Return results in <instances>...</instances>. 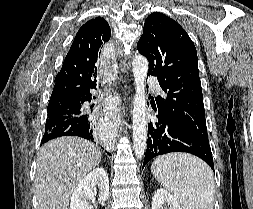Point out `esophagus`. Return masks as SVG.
<instances>
[{
	"instance_id": "1",
	"label": "esophagus",
	"mask_w": 253,
	"mask_h": 209,
	"mask_svg": "<svg viewBox=\"0 0 253 209\" xmlns=\"http://www.w3.org/2000/svg\"><path fill=\"white\" fill-rule=\"evenodd\" d=\"M114 113H115V121L118 122L120 121V109L119 107L116 105L115 108H113Z\"/></svg>"
}]
</instances>
